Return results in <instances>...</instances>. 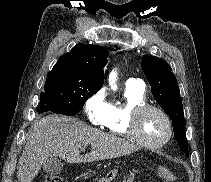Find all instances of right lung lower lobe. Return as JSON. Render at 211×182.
Returning a JSON list of instances; mask_svg holds the SVG:
<instances>
[{
    "mask_svg": "<svg viewBox=\"0 0 211 182\" xmlns=\"http://www.w3.org/2000/svg\"><path fill=\"white\" fill-rule=\"evenodd\" d=\"M48 111L63 114V112L54 104L53 101L51 100L40 101L39 107H38V113H44Z\"/></svg>",
    "mask_w": 211,
    "mask_h": 182,
    "instance_id": "obj_1",
    "label": "right lung lower lobe"
}]
</instances>
